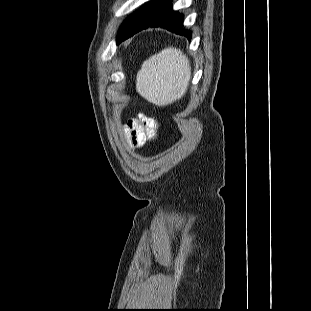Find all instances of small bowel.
<instances>
[{
    "mask_svg": "<svg viewBox=\"0 0 311 311\" xmlns=\"http://www.w3.org/2000/svg\"><path fill=\"white\" fill-rule=\"evenodd\" d=\"M157 123L144 115L138 119L130 120L125 128V138L132 148L142 147L148 140L156 136Z\"/></svg>",
    "mask_w": 311,
    "mask_h": 311,
    "instance_id": "1",
    "label": "small bowel"
}]
</instances>
